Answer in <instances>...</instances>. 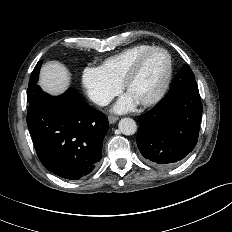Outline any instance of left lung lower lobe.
I'll return each instance as SVG.
<instances>
[{"label":"left lung lower lobe","mask_w":232,"mask_h":232,"mask_svg":"<svg viewBox=\"0 0 232 232\" xmlns=\"http://www.w3.org/2000/svg\"><path fill=\"white\" fill-rule=\"evenodd\" d=\"M202 117L199 92L184 91L172 83L167 95L140 115L137 146L154 166L179 164L195 147Z\"/></svg>","instance_id":"1"}]
</instances>
